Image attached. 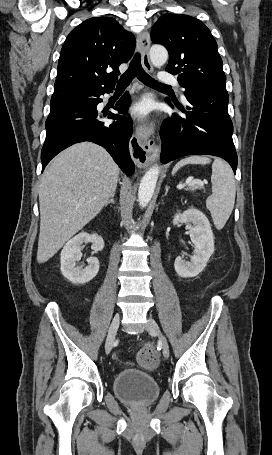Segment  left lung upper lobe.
Masks as SVG:
<instances>
[{"instance_id": "obj_1", "label": "left lung upper lobe", "mask_w": 272, "mask_h": 455, "mask_svg": "<svg viewBox=\"0 0 272 455\" xmlns=\"http://www.w3.org/2000/svg\"><path fill=\"white\" fill-rule=\"evenodd\" d=\"M152 41L169 52L166 71L178 75L185 93L199 88L226 90V76L217 43L198 19L183 14H164L151 29Z\"/></svg>"}]
</instances>
